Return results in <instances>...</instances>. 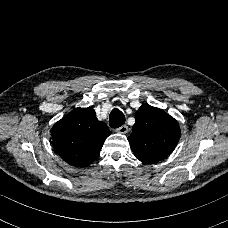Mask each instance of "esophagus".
Here are the masks:
<instances>
[{"mask_svg": "<svg viewBox=\"0 0 228 228\" xmlns=\"http://www.w3.org/2000/svg\"><path fill=\"white\" fill-rule=\"evenodd\" d=\"M116 132L121 133V134H126L128 132V126L122 125L121 127L116 129Z\"/></svg>", "mask_w": 228, "mask_h": 228, "instance_id": "1", "label": "esophagus"}]
</instances>
